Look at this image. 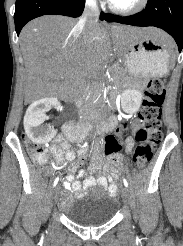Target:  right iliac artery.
<instances>
[{"instance_id": "1", "label": "right iliac artery", "mask_w": 183, "mask_h": 246, "mask_svg": "<svg viewBox=\"0 0 183 246\" xmlns=\"http://www.w3.org/2000/svg\"><path fill=\"white\" fill-rule=\"evenodd\" d=\"M58 181H59V178H56L53 184L54 187L57 185Z\"/></svg>"}]
</instances>
